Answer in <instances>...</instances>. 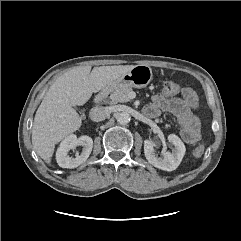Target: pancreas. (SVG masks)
Segmentation results:
<instances>
[{
	"instance_id": "obj_1",
	"label": "pancreas",
	"mask_w": 241,
	"mask_h": 241,
	"mask_svg": "<svg viewBox=\"0 0 241 241\" xmlns=\"http://www.w3.org/2000/svg\"><path fill=\"white\" fill-rule=\"evenodd\" d=\"M132 91V87H122L118 88L115 91H113L110 95L111 102L113 104L119 103V102H129V93Z\"/></svg>"
}]
</instances>
